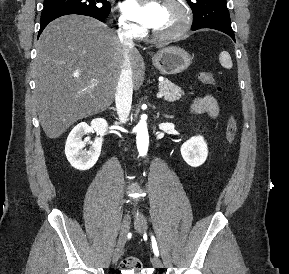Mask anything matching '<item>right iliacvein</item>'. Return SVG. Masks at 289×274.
Returning a JSON list of instances; mask_svg holds the SVG:
<instances>
[{"instance_id": "right-iliac-vein-1", "label": "right iliac vein", "mask_w": 289, "mask_h": 274, "mask_svg": "<svg viewBox=\"0 0 289 274\" xmlns=\"http://www.w3.org/2000/svg\"><path fill=\"white\" fill-rule=\"evenodd\" d=\"M129 229H130V220H129V217L126 216L123 219L122 224H121L119 238H118V241H117L114 253H113V257H112L113 263H116L120 259L123 253V248L127 239Z\"/></svg>"}]
</instances>
